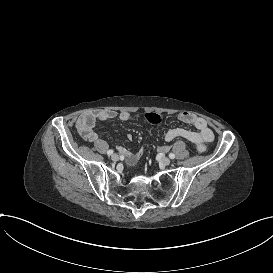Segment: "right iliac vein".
I'll return each mask as SVG.
<instances>
[{
	"mask_svg": "<svg viewBox=\"0 0 273 273\" xmlns=\"http://www.w3.org/2000/svg\"><path fill=\"white\" fill-rule=\"evenodd\" d=\"M111 159H112L113 161H118V160H119V156H118L117 154H113V155L111 156Z\"/></svg>",
	"mask_w": 273,
	"mask_h": 273,
	"instance_id": "1",
	"label": "right iliac vein"
}]
</instances>
